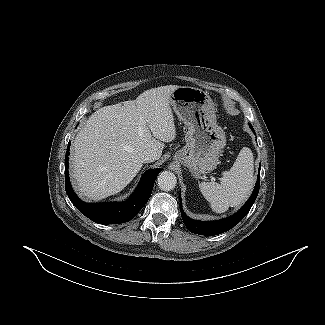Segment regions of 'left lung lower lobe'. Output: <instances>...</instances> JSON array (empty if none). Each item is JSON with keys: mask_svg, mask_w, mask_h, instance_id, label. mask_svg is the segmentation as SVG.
Listing matches in <instances>:
<instances>
[{"mask_svg": "<svg viewBox=\"0 0 325 325\" xmlns=\"http://www.w3.org/2000/svg\"><path fill=\"white\" fill-rule=\"evenodd\" d=\"M249 126L254 132V129L252 128L251 124H249ZM260 169H261V163L259 166L257 182L255 184V188L253 190L252 195L250 196L248 201L244 204V206L236 214H234L229 218L218 220V221H211V222H204V221L190 219L182 209V203L180 198L181 216L187 229L192 233H196L200 235H217L230 230L236 224H238L247 215V213L250 211L253 203L256 200L259 187H260Z\"/></svg>", "mask_w": 325, "mask_h": 325, "instance_id": "0a47b994", "label": "left lung lower lobe"}]
</instances>
